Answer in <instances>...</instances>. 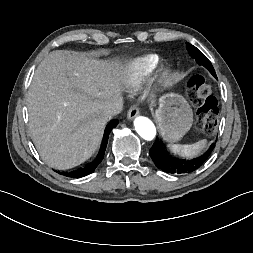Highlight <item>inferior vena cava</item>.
<instances>
[{"label":"inferior vena cava","mask_w":253,"mask_h":253,"mask_svg":"<svg viewBox=\"0 0 253 253\" xmlns=\"http://www.w3.org/2000/svg\"><path fill=\"white\" fill-rule=\"evenodd\" d=\"M123 110V99L119 98L113 102H108L104 107V115L110 119Z\"/></svg>","instance_id":"602c4592"}]
</instances>
